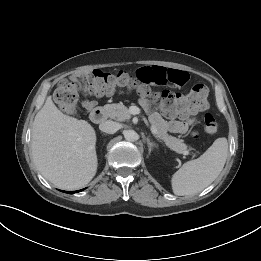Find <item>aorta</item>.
I'll return each mask as SVG.
<instances>
[{"label":"aorta","instance_id":"762f6f07","mask_svg":"<svg viewBox=\"0 0 261 261\" xmlns=\"http://www.w3.org/2000/svg\"><path fill=\"white\" fill-rule=\"evenodd\" d=\"M124 138L127 141L134 142L138 140V134L134 130H126L124 132Z\"/></svg>","mask_w":261,"mask_h":261}]
</instances>
